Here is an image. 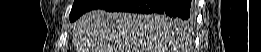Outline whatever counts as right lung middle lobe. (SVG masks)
I'll return each mask as SVG.
<instances>
[{
  "label": "right lung middle lobe",
  "mask_w": 261,
  "mask_h": 52,
  "mask_svg": "<svg viewBox=\"0 0 261 52\" xmlns=\"http://www.w3.org/2000/svg\"><path fill=\"white\" fill-rule=\"evenodd\" d=\"M105 2L106 0H75L70 13V21H75L85 12L96 9L99 6L103 5ZM161 19L177 27L180 25L187 26L188 23L192 21V17L190 19L184 20L178 17H170L165 15L161 17L160 20Z\"/></svg>",
  "instance_id": "right-lung-middle-lobe-1"
}]
</instances>
